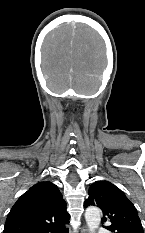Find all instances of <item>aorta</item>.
Here are the masks:
<instances>
[{
    "label": "aorta",
    "instance_id": "1",
    "mask_svg": "<svg viewBox=\"0 0 145 233\" xmlns=\"http://www.w3.org/2000/svg\"><path fill=\"white\" fill-rule=\"evenodd\" d=\"M85 220L90 233H95L101 222V215L96 207H88L85 211Z\"/></svg>",
    "mask_w": 145,
    "mask_h": 233
}]
</instances>
